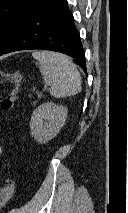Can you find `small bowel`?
Here are the masks:
<instances>
[{"label": "small bowel", "mask_w": 128, "mask_h": 213, "mask_svg": "<svg viewBox=\"0 0 128 213\" xmlns=\"http://www.w3.org/2000/svg\"><path fill=\"white\" fill-rule=\"evenodd\" d=\"M2 152H3L2 146L0 145V156L2 155Z\"/></svg>", "instance_id": "c3829d8e"}]
</instances>
